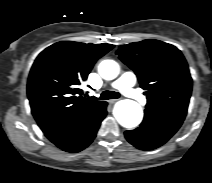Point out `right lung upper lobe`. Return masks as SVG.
I'll return each mask as SVG.
<instances>
[{
  "mask_svg": "<svg viewBox=\"0 0 212 183\" xmlns=\"http://www.w3.org/2000/svg\"><path fill=\"white\" fill-rule=\"evenodd\" d=\"M111 44L55 43L36 58L28 78L32 114L43 132L60 128L96 112L104 104L84 98L80 84Z\"/></svg>",
  "mask_w": 212,
  "mask_h": 183,
  "instance_id": "obj_1",
  "label": "right lung upper lobe"
}]
</instances>
